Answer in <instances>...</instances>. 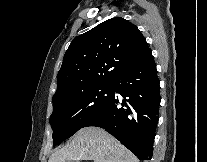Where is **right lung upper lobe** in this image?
<instances>
[{
    "label": "right lung upper lobe",
    "instance_id": "right-lung-upper-lobe-1",
    "mask_svg": "<svg viewBox=\"0 0 207 162\" xmlns=\"http://www.w3.org/2000/svg\"><path fill=\"white\" fill-rule=\"evenodd\" d=\"M150 58L152 52L134 24L121 17L106 20L71 42L53 99L113 84L127 69Z\"/></svg>",
    "mask_w": 207,
    "mask_h": 162
}]
</instances>
